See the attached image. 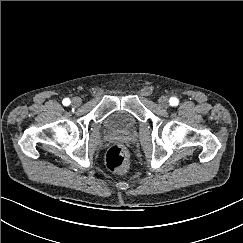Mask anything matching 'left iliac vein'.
Masks as SVG:
<instances>
[{"label":"left iliac vein","mask_w":243,"mask_h":243,"mask_svg":"<svg viewBox=\"0 0 243 243\" xmlns=\"http://www.w3.org/2000/svg\"><path fill=\"white\" fill-rule=\"evenodd\" d=\"M158 103L162 108H168L169 107V100L166 96H161L158 100Z\"/></svg>","instance_id":"left-iliac-vein-1"}]
</instances>
